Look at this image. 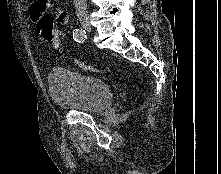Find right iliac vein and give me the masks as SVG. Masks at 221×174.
<instances>
[{"instance_id": "1", "label": "right iliac vein", "mask_w": 221, "mask_h": 174, "mask_svg": "<svg viewBox=\"0 0 221 174\" xmlns=\"http://www.w3.org/2000/svg\"><path fill=\"white\" fill-rule=\"evenodd\" d=\"M82 27L87 31V32H91L92 28H91V24L88 18H82L80 20Z\"/></svg>"}]
</instances>
